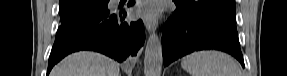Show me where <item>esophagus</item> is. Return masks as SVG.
<instances>
[{"label":"esophagus","instance_id":"1","mask_svg":"<svg viewBox=\"0 0 287 76\" xmlns=\"http://www.w3.org/2000/svg\"><path fill=\"white\" fill-rule=\"evenodd\" d=\"M143 23L148 31L155 30L157 28V23L151 17L144 16Z\"/></svg>","mask_w":287,"mask_h":76}]
</instances>
